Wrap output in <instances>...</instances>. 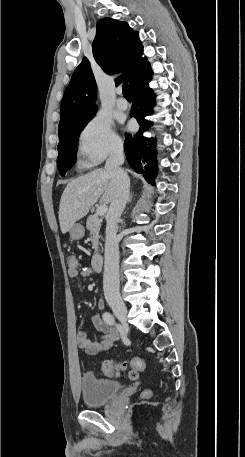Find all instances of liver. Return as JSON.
I'll list each match as a JSON object with an SVG mask.
<instances>
[{
	"label": "liver",
	"instance_id": "liver-1",
	"mask_svg": "<svg viewBox=\"0 0 245 457\" xmlns=\"http://www.w3.org/2000/svg\"><path fill=\"white\" fill-rule=\"evenodd\" d=\"M114 194V184L109 174H105V168H95L87 174L73 178L65 186L60 200L59 220L62 233H67L76 220L86 216L98 198L108 204Z\"/></svg>",
	"mask_w": 245,
	"mask_h": 457
}]
</instances>
